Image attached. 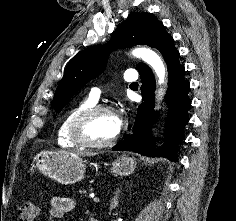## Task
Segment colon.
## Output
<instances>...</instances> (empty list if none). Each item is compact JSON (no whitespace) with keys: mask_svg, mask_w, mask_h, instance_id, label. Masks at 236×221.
<instances>
[{"mask_svg":"<svg viewBox=\"0 0 236 221\" xmlns=\"http://www.w3.org/2000/svg\"><path fill=\"white\" fill-rule=\"evenodd\" d=\"M39 207L32 202H23L18 209L19 221H36Z\"/></svg>","mask_w":236,"mask_h":221,"instance_id":"colon-1","label":"colon"}]
</instances>
